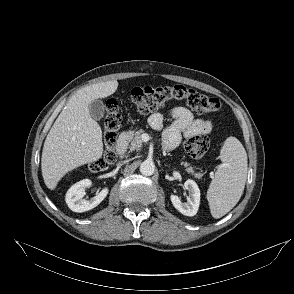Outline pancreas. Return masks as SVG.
<instances>
[{"label":"pancreas","instance_id":"obj_1","mask_svg":"<svg viewBox=\"0 0 294 294\" xmlns=\"http://www.w3.org/2000/svg\"><path fill=\"white\" fill-rule=\"evenodd\" d=\"M144 133L143 129H140L138 131H130L128 133V141H129V149L130 151L133 150H140L143 146V140H142V134ZM181 164H183L186 167V171L193 175L196 179H200L203 174L198 173L195 171V167H191L189 163L187 162H182Z\"/></svg>","mask_w":294,"mask_h":294}]
</instances>
